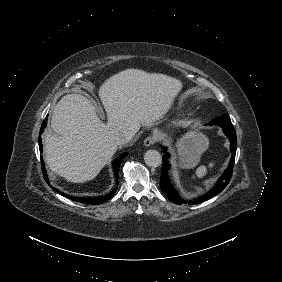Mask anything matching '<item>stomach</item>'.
<instances>
[{"label":"stomach","instance_id":"1","mask_svg":"<svg viewBox=\"0 0 282 282\" xmlns=\"http://www.w3.org/2000/svg\"><path fill=\"white\" fill-rule=\"evenodd\" d=\"M175 147L179 167L189 169L199 163L201 155L209 147V140L198 131H189L177 140Z\"/></svg>","mask_w":282,"mask_h":282}]
</instances>
